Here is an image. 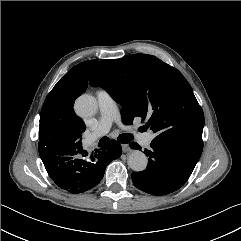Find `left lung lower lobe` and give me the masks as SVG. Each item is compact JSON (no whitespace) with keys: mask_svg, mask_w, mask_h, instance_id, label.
<instances>
[{"mask_svg":"<svg viewBox=\"0 0 241 241\" xmlns=\"http://www.w3.org/2000/svg\"><path fill=\"white\" fill-rule=\"evenodd\" d=\"M150 146L144 151L149 157L146 170L132 173L134 185L158 196L178 190L190 177L201 154L161 141L153 140ZM130 147L141 150L135 142H131Z\"/></svg>","mask_w":241,"mask_h":241,"instance_id":"1","label":"left lung lower lobe"}]
</instances>
